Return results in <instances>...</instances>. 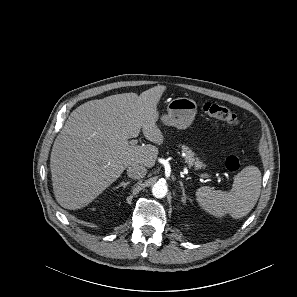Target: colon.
Returning a JSON list of instances; mask_svg holds the SVG:
<instances>
[{
	"instance_id": "obj_1",
	"label": "colon",
	"mask_w": 297,
	"mask_h": 297,
	"mask_svg": "<svg viewBox=\"0 0 297 297\" xmlns=\"http://www.w3.org/2000/svg\"><path fill=\"white\" fill-rule=\"evenodd\" d=\"M204 113L207 115L225 121L230 125H238L239 118L238 116L229 108L224 105L206 102L202 107ZM226 169L230 172H238L242 167V162L237 156H228L225 160Z\"/></svg>"
}]
</instances>
